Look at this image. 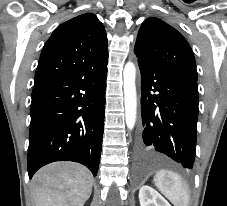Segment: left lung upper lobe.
<instances>
[{
    "mask_svg": "<svg viewBox=\"0 0 227 206\" xmlns=\"http://www.w3.org/2000/svg\"><path fill=\"white\" fill-rule=\"evenodd\" d=\"M134 53L142 63L197 80L195 58L188 42L176 29L158 18L143 22Z\"/></svg>",
    "mask_w": 227,
    "mask_h": 206,
    "instance_id": "1",
    "label": "left lung upper lobe"
}]
</instances>
